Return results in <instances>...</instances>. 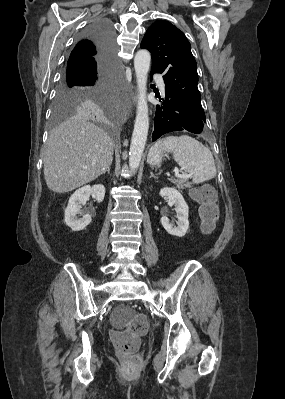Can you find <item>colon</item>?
Segmentation results:
<instances>
[{
	"instance_id": "obj_1",
	"label": "colon",
	"mask_w": 285,
	"mask_h": 399,
	"mask_svg": "<svg viewBox=\"0 0 285 399\" xmlns=\"http://www.w3.org/2000/svg\"><path fill=\"white\" fill-rule=\"evenodd\" d=\"M193 199L200 204V216L202 221V231L209 233L215 228L218 218V207L215 201V194L206 186H199L191 191ZM147 329L145 318L133 316L123 330L111 332V339L115 347L117 356L127 364L138 362L136 353L141 344V338Z\"/></svg>"
}]
</instances>
